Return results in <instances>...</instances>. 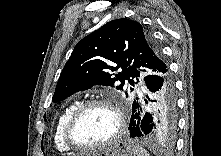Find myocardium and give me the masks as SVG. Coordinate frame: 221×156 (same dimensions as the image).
Here are the masks:
<instances>
[{"instance_id":"myocardium-1","label":"myocardium","mask_w":221,"mask_h":156,"mask_svg":"<svg viewBox=\"0 0 221 156\" xmlns=\"http://www.w3.org/2000/svg\"><path fill=\"white\" fill-rule=\"evenodd\" d=\"M99 106L107 107L114 112L117 120V127L115 132L109 139H107L106 141L100 144L84 145L78 143L73 137V129L75 125L77 124L79 119L83 116V114H85L89 109ZM125 125H126L125 117L117 103H115L111 99H106V98L92 99L81 103L69 115L63 128V140L69 148L74 150L90 151V150L102 149L112 145L122 136L125 130Z\"/></svg>"}]
</instances>
